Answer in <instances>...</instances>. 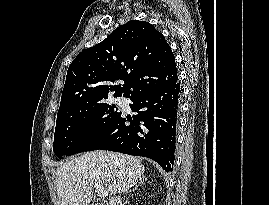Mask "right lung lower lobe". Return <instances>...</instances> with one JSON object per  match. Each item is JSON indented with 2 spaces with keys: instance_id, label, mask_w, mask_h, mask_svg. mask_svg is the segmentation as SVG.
Returning <instances> with one entry per match:
<instances>
[{
  "instance_id": "obj_1",
  "label": "right lung lower lobe",
  "mask_w": 269,
  "mask_h": 205,
  "mask_svg": "<svg viewBox=\"0 0 269 205\" xmlns=\"http://www.w3.org/2000/svg\"><path fill=\"white\" fill-rule=\"evenodd\" d=\"M180 83L147 90L130 98L131 120L121 114L85 151L110 150L156 161L173 170ZM130 121V124H126Z\"/></svg>"
}]
</instances>
